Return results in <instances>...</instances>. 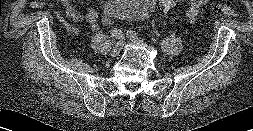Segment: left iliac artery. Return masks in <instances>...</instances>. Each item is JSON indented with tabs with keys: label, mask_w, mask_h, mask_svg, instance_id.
Returning a JSON list of instances; mask_svg holds the SVG:
<instances>
[{
	"label": "left iliac artery",
	"mask_w": 253,
	"mask_h": 131,
	"mask_svg": "<svg viewBox=\"0 0 253 131\" xmlns=\"http://www.w3.org/2000/svg\"><path fill=\"white\" fill-rule=\"evenodd\" d=\"M127 36L137 37L138 33L135 30L130 29L127 31Z\"/></svg>",
	"instance_id": "obj_1"
}]
</instances>
